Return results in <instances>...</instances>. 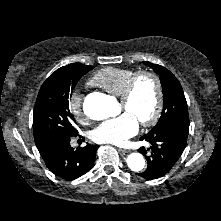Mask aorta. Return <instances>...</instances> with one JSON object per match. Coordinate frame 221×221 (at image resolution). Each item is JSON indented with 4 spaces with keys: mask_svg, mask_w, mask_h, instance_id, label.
<instances>
[{
    "mask_svg": "<svg viewBox=\"0 0 221 221\" xmlns=\"http://www.w3.org/2000/svg\"><path fill=\"white\" fill-rule=\"evenodd\" d=\"M115 107V102L109 96L96 93L85 100L83 109L88 118L103 120L114 114ZM127 165L132 171H141L145 166L144 157L140 153H131L127 158Z\"/></svg>",
    "mask_w": 221,
    "mask_h": 221,
    "instance_id": "obj_1",
    "label": "aorta"
}]
</instances>
